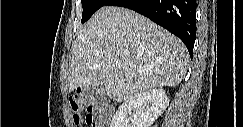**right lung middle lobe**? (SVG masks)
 I'll return each mask as SVG.
<instances>
[{"label": "right lung middle lobe", "mask_w": 243, "mask_h": 127, "mask_svg": "<svg viewBox=\"0 0 243 127\" xmlns=\"http://www.w3.org/2000/svg\"><path fill=\"white\" fill-rule=\"evenodd\" d=\"M83 13L82 23H85L99 8L105 6L109 0H81Z\"/></svg>", "instance_id": "dd1d6c3e"}]
</instances>
